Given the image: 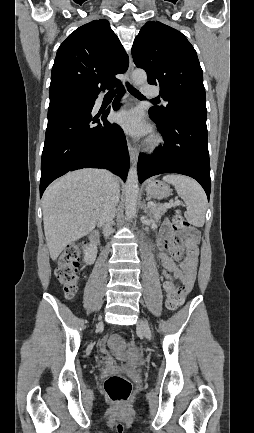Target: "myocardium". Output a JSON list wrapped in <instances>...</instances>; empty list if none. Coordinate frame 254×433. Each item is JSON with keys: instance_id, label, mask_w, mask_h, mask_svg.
Segmentation results:
<instances>
[{"instance_id": "myocardium-1", "label": "myocardium", "mask_w": 254, "mask_h": 433, "mask_svg": "<svg viewBox=\"0 0 254 433\" xmlns=\"http://www.w3.org/2000/svg\"><path fill=\"white\" fill-rule=\"evenodd\" d=\"M160 142H161V139L159 136H153L149 140V145L152 147H156L160 144Z\"/></svg>"}]
</instances>
